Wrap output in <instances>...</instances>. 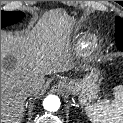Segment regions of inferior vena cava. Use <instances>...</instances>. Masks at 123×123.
<instances>
[{
  "instance_id": "inferior-vena-cava-1",
  "label": "inferior vena cava",
  "mask_w": 123,
  "mask_h": 123,
  "mask_svg": "<svg viewBox=\"0 0 123 123\" xmlns=\"http://www.w3.org/2000/svg\"><path fill=\"white\" fill-rule=\"evenodd\" d=\"M37 89H38V86L34 82H28L23 87V91L27 95V97H30L32 95H35Z\"/></svg>"
}]
</instances>
